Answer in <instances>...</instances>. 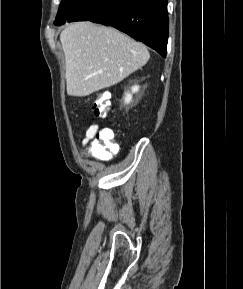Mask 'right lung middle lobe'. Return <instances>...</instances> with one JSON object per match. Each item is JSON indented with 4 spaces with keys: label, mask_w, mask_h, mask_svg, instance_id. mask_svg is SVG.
Listing matches in <instances>:
<instances>
[{
    "label": "right lung middle lobe",
    "mask_w": 243,
    "mask_h": 289,
    "mask_svg": "<svg viewBox=\"0 0 243 289\" xmlns=\"http://www.w3.org/2000/svg\"><path fill=\"white\" fill-rule=\"evenodd\" d=\"M81 2L82 0H61L54 24L57 25L66 20Z\"/></svg>",
    "instance_id": "dd1d6c3e"
}]
</instances>
